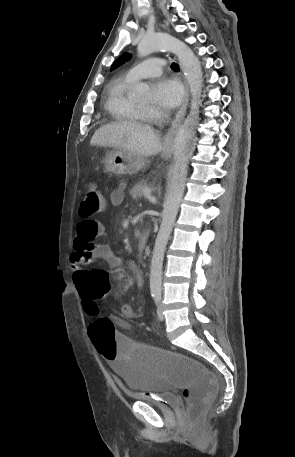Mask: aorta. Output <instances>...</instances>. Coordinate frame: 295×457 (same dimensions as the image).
I'll return each mask as SVG.
<instances>
[{
    "label": "aorta",
    "mask_w": 295,
    "mask_h": 457,
    "mask_svg": "<svg viewBox=\"0 0 295 457\" xmlns=\"http://www.w3.org/2000/svg\"><path fill=\"white\" fill-rule=\"evenodd\" d=\"M169 50L179 60L180 67L188 81L191 93L189 114L178 130L174 143V165L169 179L168 194L162 212V222L155 240L150 268L151 294H161L162 265L167 241L172 232L180 202L185 190L187 165L191 142L199 123V106L203 88V72L199 59L181 40L164 33L146 35L137 46L138 55L145 57L154 51ZM136 94L145 97L149 86L139 84Z\"/></svg>",
    "instance_id": "762f6f07"
}]
</instances>
